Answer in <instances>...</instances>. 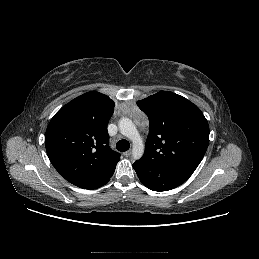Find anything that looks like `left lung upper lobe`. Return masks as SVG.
Masks as SVG:
<instances>
[{
	"instance_id": "obj_1",
	"label": "left lung upper lobe",
	"mask_w": 259,
	"mask_h": 259,
	"mask_svg": "<svg viewBox=\"0 0 259 259\" xmlns=\"http://www.w3.org/2000/svg\"><path fill=\"white\" fill-rule=\"evenodd\" d=\"M137 105L149 118L142 158L193 173L209 144V125L200 109L169 91H160Z\"/></svg>"
}]
</instances>
